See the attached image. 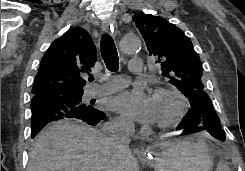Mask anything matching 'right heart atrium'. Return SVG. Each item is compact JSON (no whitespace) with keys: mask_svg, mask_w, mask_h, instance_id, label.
Wrapping results in <instances>:
<instances>
[{"mask_svg":"<svg viewBox=\"0 0 245 171\" xmlns=\"http://www.w3.org/2000/svg\"><path fill=\"white\" fill-rule=\"evenodd\" d=\"M113 126L117 129L128 130L131 128V124L124 118H117L113 122Z\"/></svg>","mask_w":245,"mask_h":171,"instance_id":"obj_1","label":"right heart atrium"}]
</instances>
